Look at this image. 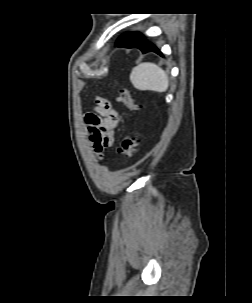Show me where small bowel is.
<instances>
[{"label":"small bowel","instance_id":"c3829d8e","mask_svg":"<svg viewBox=\"0 0 252 303\" xmlns=\"http://www.w3.org/2000/svg\"><path fill=\"white\" fill-rule=\"evenodd\" d=\"M97 113H89L85 122L90 143L94 152L100 157L102 152L111 147L114 142L118 114L105 100L97 99Z\"/></svg>","mask_w":252,"mask_h":303}]
</instances>
